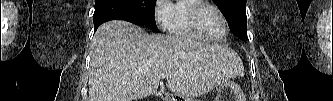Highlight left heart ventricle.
<instances>
[{
	"label": "left heart ventricle",
	"mask_w": 333,
	"mask_h": 101,
	"mask_svg": "<svg viewBox=\"0 0 333 101\" xmlns=\"http://www.w3.org/2000/svg\"><path fill=\"white\" fill-rule=\"evenodd\" d=\"M199 22L204 33L211 38H220L224 34V25L213 9L205 7L200 11Z\"/></svg>",
	"instance_id": "obj_1"
}]
</instances>
